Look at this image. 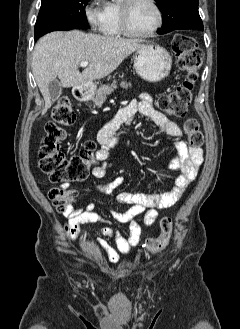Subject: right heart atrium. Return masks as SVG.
I'll return each mask as SVG.
<instances>
[{"instance_id": "d8ad5b80", "label": "right heart atrium", "mask_w": 240, "mask_h": 329, "mask_svg": "<svg viewBox=\"0 0 240 329\" xmlns=\"http://www.w3.org/2000/svg\"><path fill=\"white\" fill-rule=\"evenodd\" d=\"M103 12L102 8L96 7L93 2L90 3L85 8V17L88 21V23L93 27L97 28L99 27L101 20H102Z\"/></svg>"}]
</instances>
